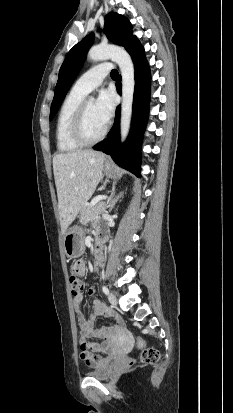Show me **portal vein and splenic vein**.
Listing matches in <instances>:
<instances>
[{
	"label": "portal vein and splenic vein",
	"instance_id": "portal-vein-and-splenic-vein-1",
	"mask_svg": "<svg viewBox=\"0 0 233 413\" xmlns=\"http://www.w3.org/2000/svg\"><path fill=\"white\" fill-rule=\"evenodd\" d=\"M107 196L104 195H99L96 196L95 198H93V200L91 201V205L94 206L95 204H97L100 200L106 199Z\"/></svg>",
	"mask_w": 233,
	"mask_h": 413
}]
</instances>
